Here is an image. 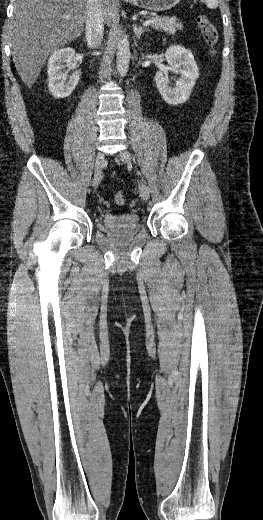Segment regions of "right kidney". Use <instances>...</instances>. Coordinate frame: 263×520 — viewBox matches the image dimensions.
Listing matches in <instances>:
<instances>
[{
	"instance_id": "obj_1",
	"label": "right kidney",
	"mask_w": 263,
	"mask_h": 520,
	"mask_svg": "<svg viewBox=\"0 0 263 520\" xmlns=\"http://www.w3.org/2000/svg\"><path fill=\"white\" fill-rule=\"evenodd\" d=\"M74 56V49L67 47L54 51L48 60V88L55 98L69 97L79 82L80 74L77 70L69 77L65 70L66 67L68 70L76 69V64L72 62Z\"/></svg>"
}]
</instances>
